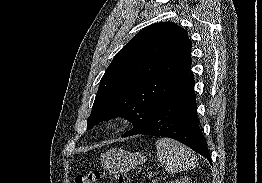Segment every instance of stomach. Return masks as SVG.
<instances>
[{
  "label": "stomach",
  "instance_id": "0dacf381",
  "mask_svg": "<svg viewBox=\"0 0 262 183\" xmlns=\"http://www.w3.org/2000/svg\"><path fill=\"white\" fill-rule=\"evenodd\" d=\"M143 153H132L123 149H110L101 156V164L105 170L115 174H125L131 168L146 162Z\"/></svg>",
  "mask_w": 262,
  "mask_h": 183
}]
</instances>
